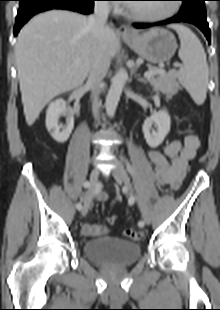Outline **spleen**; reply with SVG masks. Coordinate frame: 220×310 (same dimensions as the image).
<instances>
[{
	"instance_id": "3e777b00",
	"label": "spleen",
	"mask_w": 220,
	"mask_h": 310,
	"mask_svg": "<svg viewBox=\"0 0 220 310\" xmlns=\"http://www.w3.org/2000/svg\"><path fill=\"white\" fill-rule=\"evenodd\" d=\"M170 27L179 35V57L184 64V67L176 73L178 80L194 102L202 105L206 99L209 76L204 48L198 37L188 27L181 24Z\"/></svg>"
}]
</instances>
